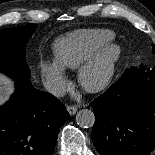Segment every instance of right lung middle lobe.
I'll return each instance as SVG.
<instances>
[{
	"mask_svg": "<svg viewBox=\"0 0 155 155\" xmlns=\"http://www.w3.org/2000/svg\"><path fill=\"white\" fill-rule=\"evenodd\" d=\"M37 28L26 24L16 28L0 30V72L9 75L16 90H26L30 84V71L25 59L26 43Z\"/></svg>",
	"mask_w": 155,
	"mask_h": 155,
	"instance_id": "1",
	"label": "right lung middle lobe"
}]
</instances>
